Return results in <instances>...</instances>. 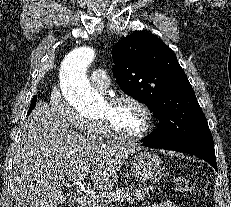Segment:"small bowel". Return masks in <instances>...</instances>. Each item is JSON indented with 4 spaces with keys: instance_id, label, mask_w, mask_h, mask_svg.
I'll return each mask as SVG.
<instances>
[{
    "instance_id": "1",
    "label": "small bowel",
    "mask_w": 231,
    "mask_h": 207,
    "mask_svg": "<svg viewBox=\"0 0 231 207\" xmlns=\"http://www.w3.org/2000/svg\"><path fill=\"white\" fill-rule=\"evenodd\" d=\"M146 207H179L176 204L172 203V202H161V203H155Z\"/></svg>"
}]
</instances>
